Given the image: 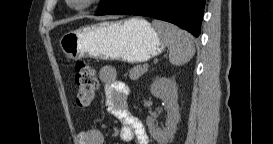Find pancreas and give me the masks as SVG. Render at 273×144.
<instances>
[{
  "instance_id": "obj_1",
  "label": "pancreas",
  "mask_w": 273,
  "mask_h": 144,
  "mask_svg": "<svg viewBox=\"0 0 273 144\" xmlns=\"http://www.w3.org/2000/svg\"><path fill=\"white\" fill-rule=\"evenodd\" d=\"M146 72H147V68H145V65H143V66L136 65L129 70V77L131 80H137L139 77H141Z\"/></svg>"
}]
</instances>
